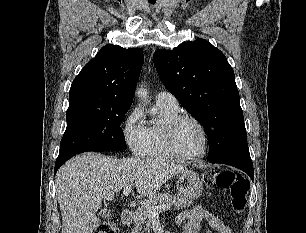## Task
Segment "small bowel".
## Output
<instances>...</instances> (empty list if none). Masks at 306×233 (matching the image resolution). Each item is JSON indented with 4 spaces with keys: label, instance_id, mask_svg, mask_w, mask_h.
<instances>
[{
    "label": "small bowel",
    "instance_id": "small-bowel-1",
    "mask_svg": "<svg viewBox=\"0 0 306 233\" xmlns=\"http://www.w3.org/2000/svg\"><path fill=\"white\" fill-rule=\"evenodd\" d=\"M203 220H206L209 226L218 233H235L218 216L209 213L200 206L182 211L177 216L176 223L183 226L185 233H199L200 223Z\"/></svg>",
    "mask_w": 306,
    "mask_h": 233
}]
</instances>
